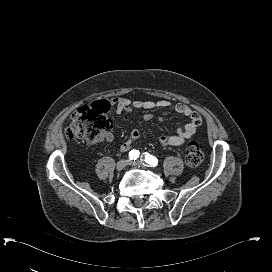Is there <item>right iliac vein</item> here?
I'll list each match as a JSON object with an SVG mask.
<instances>
[{"instance_id":"1","label":"right iliac vein","mask_w":272,"mask_h":272,"mask_svg":"<svg viewBox=\"0 0 272 272\" xmlns=\"http://www.w3.org/2000/svg\"><path fill=\"white\" fill-rule=\"evenodd\" d=\"M129 162H130L129 159H122V160L118 161L116 164V169L118 171L123 170L129 164Z\"/></svg>"}]
</instances>
